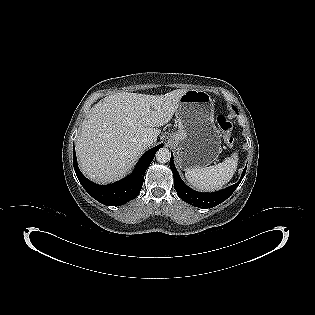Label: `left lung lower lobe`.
<instances>
[{
    "label": "left lung lower lobe",
    "instance_id": "0a47b994",
    "mask_svg": "<svg viewBox=\"0 0 315 315\" xmlns=\"http://www.w3.org/2000/svg\"><path fill=\"white\" fill-rule=\"evenodd\" d=\"M170 168L173 172L174 176V185L175 190L178 194V196L185 202L196 206L200 208H212L216 205L220 204L221 202L225 201L227 198L231 196V194L235 191V189L238 187L240 182L242 181L245 172L246 167L242 172L241 178L239 182L231 185L230 187L223 189L218 192L214 193H201L197 192L191 188H189L180 178L179 173L177 172V169L173 162V155H171L170 159Z\"/></svg>",
    "mask_w": 315,
    "mask_h": 315
}]
</instances>
